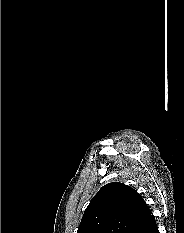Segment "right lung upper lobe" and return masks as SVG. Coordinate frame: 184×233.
<instances>
[{"instance_id": "obj_1", "label": "right lung upper lobe", "mask_w": 184, "mask_h": 233, "mask_svg": "<svg viewBox=\"0 0 184 233\" xmlns=\"http://www.w3.org/2000/svg\"><path fill=\"white\" fill-rule=\"evenodd\" d=\"M151 214L133 188L120 182L109 183L90 201L77 233H133Z\"/></svg>"}]
</instances>
